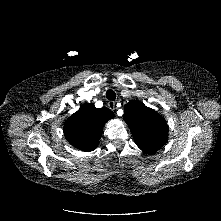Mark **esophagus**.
Instances as JSON below:
<instances>
[{
	"label": "esophagus",
	"instance_id": "34e87169",
	"mask_svg": "<svg viewBox=\"0 0 221 221\" xmlns=\"http://www.w3.org/2000/svg\"><path fill=\"white\" fill-rule=\"evenodd\" d=\"M108 107L111 110H115L116 109V103L114 101H109L108 102Z\"/></svg>",
	"mask_w": 221,
	"mask_h": 221
}]
</instances>
